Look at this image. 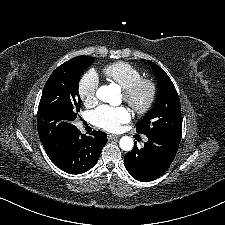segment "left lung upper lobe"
Listing matches in <instances>:
<instances>
[{
    "label": "left lung upper lobe",
    "instance_id": "5c2ea615",
    "mask_svg": "<svg viewBox=\"0 0 225 225\" xmlns=\"http://www.w3.org/2000/svg\"><path fill=\"white\" fill-rule=\"evenodd\" d=\"M146 61V60H142ZM158 83L155 104L137 123V132L147 137H167L180 143L182 118L179 96L169 76L157 64L147 60Z\"/></svg>",
    "mask_w": 225,
    "mask_h": 225
}]
</instances>
